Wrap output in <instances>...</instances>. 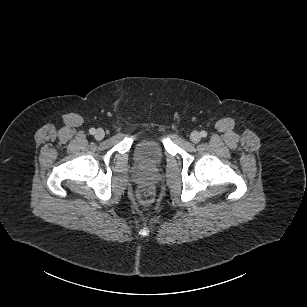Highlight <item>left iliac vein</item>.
Segmentation results:
<instances>
[{
	"instance_id": "1",
	"label": "left iliac vein",
	"mask_w": 307,
	"mask_h": 307,
	"mask_svg": "<svg viewBox=\"0 0 307 307\" xmlns=\"http://www.w3.org/2000/svg\"><path fill=\"white\" fill-rule=\"evenodd\" d=\"M190 139L194 143H198L201 139V135L198 131H193L190 135Z\"/></svg>"
}]
</instances>
